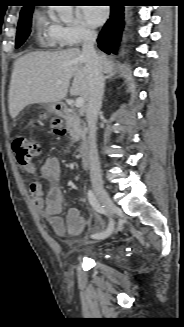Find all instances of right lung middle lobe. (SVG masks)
<instances>
[{"label": "right lung middle lobe", "mask_w": 184, "mask_h": 327, "mask_svg": "<svg viewBox=\"0 0 184 327\" xmlns=\"http://www.w3.org/2000/svg\"><path fill=\"white\" fill-rule=\"evenodd\" d=\"M33 8L20 13V18L17 26V36L15 48L20 47L28 38L31 32Z\"/></svg>", "instance_id": "right-lung-middle-lobe-1"}]
</instances>
